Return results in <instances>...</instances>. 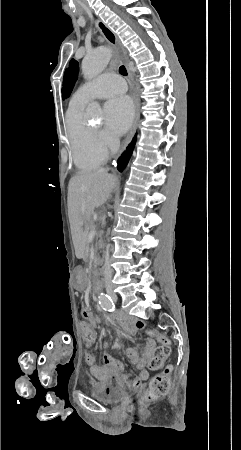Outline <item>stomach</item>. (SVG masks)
<instances>
[{"instance_id": "0dacf381", "label": "stomach", "mask_w": 241, "mask_h": 450, "mask_svg": "<svg viewBox=\"0 0 241 450\" xmlns=\"http://www.w3.org/2000/svg\"><path fill=\"white\" fill-rule=\"evenodd\" d=\"M73 280L79 288H83L85 286V278L80 268H77L74 271Z\"/></svg>"}]
</instances>
